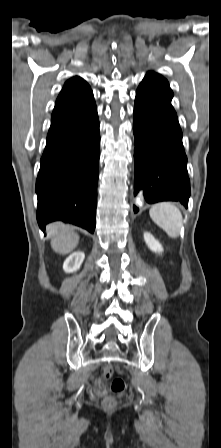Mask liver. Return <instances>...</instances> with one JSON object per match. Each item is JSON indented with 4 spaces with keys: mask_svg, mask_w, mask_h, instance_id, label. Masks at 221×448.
I'll list each match as a JSON object with an SVG mask.
<instances>
[{
    "mask_svg": "<svg viewBox=\"0 0 221 448\" xmlns=\"http://www.w3.org/2000/svg\"><path fill=\"white\" fill-rule=\"evenodd\" d=\"M50 229L53 231L51 247L56 253L66 255L78 245L79 235L71 227L56 223L51 225Z\"/></svg>",
    "mask_w": 221,
    "mask_h": 448,
    "instance_id": "1",
    "label": "liver"
}]
</instances>
